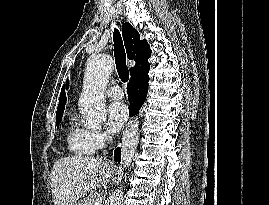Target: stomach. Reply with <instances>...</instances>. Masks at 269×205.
<instances>
[{
    "mask_svg": "<svg viewBox=\"0 0 269 205\" xmlns=\"http://www.w3.org/2000/svg\"><path fill=\"white\" fill-rule=\"evenodd\" d=\"M74 205H85V203H84V201H78V202H76Z\"/></svg>",
    "mask_w": 269,
    "mask_h": 205,
    "instance_id": "obj_1",
    "label": "stomach"
}]
</instances>
